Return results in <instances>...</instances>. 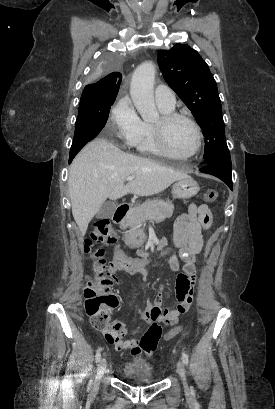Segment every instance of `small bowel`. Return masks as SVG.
I'll list each match as a JSON object with an SVG mask.
<instances>
[{
  "instance_id": "obj_1",
  "label": "small bowel",
  "mask_w": 275,
  "mask_h": 409,
  "mask_svg": "<svg viewBox=\"0 0 275 409\" xmlns=\"http://www.w3.org/2000/svg\"><path fill=\"white\" fill-rule=\"evenodd\" d=\"M211 222V211L204 204H191L188 212L178 217L174 227V239L178 253H174L169 260L170 268L174 271H180L175 285L178 304L171 309L161 308L160 304L163 295L167 292V287L165 285L159 286L153 306L146 307L144 310L138 307L135 309L141 320L152 324L145 327L146 333H142L139 340L132 338L133 332L127 331V327L122 322H115L112 330L103 332L104 341L108 342V345L113 347L115 351H133L134 354L142 355L146 359H151L152 355L158 353L162 343L159 338L162 331L160 322L170 326L176 324L178 317L186 313L193 303L199 263L198 255L204 244L202 231L209 229ZM181 259L185 261L184 264H181ZM130 260L131 263L129 264L134 267L131 273L145 276V261L141 258H130ZM120 282L121 279L117 278L112 281V284L117 286Z\"/></svg>"
}]
</instances>
